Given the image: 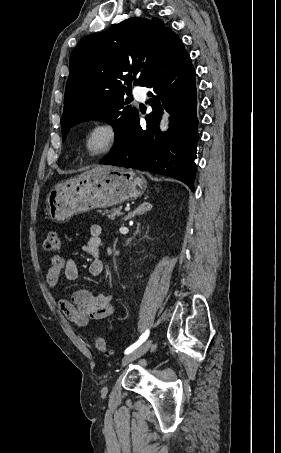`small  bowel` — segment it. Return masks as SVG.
Here are the masks:
<instances>
[{"mask_svg":"<svg viewBox=\"0 0 281 453\" xmlns=\"http://www.w3.org/2000/svg\"><path fill=\"white\" fill-rule=\"evenodd\" d=\"M102 227L92 224L89 228V238L84 244V251L93 257L87 267L88 275L99 277L104 271V265L99 258L100 236ZM50 268L45 273V280L52 288L63 289L60 284L61 271L64 270L66 279L75 280L79 276L76 261L53 254L49 258ZM113 297L107 293H92L89 289H77L72 292L69 300L58 302L60 310L78 327H85L90 320H99L114 312Z\"/></svg>","mask_w":281,"mask_h":453,"instance_id":"c3829d8e","label":"small bowel"}]
</instances>
